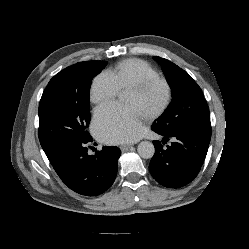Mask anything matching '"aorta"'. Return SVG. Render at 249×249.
Wrapping results in <instances>:
<instances>
[{"mask_svg":"<svg viewBox=\"0 0 249 249\" xmlns=\"http://www.w3.org/2000/svg\"><path fill=\"white\" fill-rule=\"evenodd\" d=\"M137 152L141 158L150 159L155 153V148L151 142L142 141L138 144Z\"/></svg>","mask_w":249,"mask_h":249,"instance_id":"aorta-1","label":"aorta"}]
</instances>
